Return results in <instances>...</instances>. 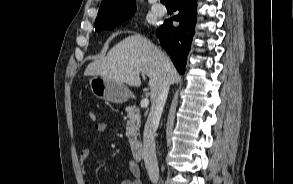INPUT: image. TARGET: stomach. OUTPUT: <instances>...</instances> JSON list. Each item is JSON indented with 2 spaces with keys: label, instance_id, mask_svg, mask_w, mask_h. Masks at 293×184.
Returning a JSON list of instances; mask_svg holds the SVG:
<instances>
[{
  "label": "stomach",
  "instance_id": "obj_1",
  "mask_svg": "<svg viewBox=\"0 0 293 184\" xmlns=\"http://www.w3.org/2000/svg\"><path fill=\"white\" fill-rule=\"evenodd\" d=\"M89 86L95 97L111 103H124L132 97V92L124 83L103 76H92Z\"/></svg>",
  "mask_w": 293,
  "mask_h": 184
}]
</instances>
